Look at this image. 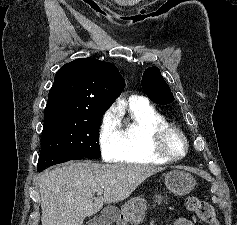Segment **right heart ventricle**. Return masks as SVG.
<instances>
[{
  "label": "right heart ventricle",
  "mask_w": 237,
  "mask_h": 225,
  "mask_svg": "<svg viewBox=\"0 0 237 225\" xmlns=\"http://www.w3.org/2000/svg\"><path fill=\"white\" fill-rule=\"evenodd\" d=\"M129 122L122 128V149L118 162L129 164H162L167 160L152 148V131L168 125L166 119L145 99L129 102Z\"/></svg>",
  "instance_id": "right-heart-ventricle-1"
}]
</instances>
